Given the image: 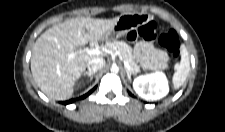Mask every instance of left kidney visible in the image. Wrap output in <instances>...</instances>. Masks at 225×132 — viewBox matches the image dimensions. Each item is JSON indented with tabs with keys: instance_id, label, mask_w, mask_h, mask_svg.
Here are the masks:
<instances>
[{
	"instance_id": "5707ae66",
	"label": "left kidney",
	"mask_w": 225,
	"mask_h": 132,
	"mask_svg": "<svg viewBox=\"0 0 225 132\" xmlns=\"http://www.w3.org/2000/svg\"><path fill=\"white\" fill-rule=\"evenodd\" d=\"M133 88L141 98L148 101L159 100L169 91L167 78L162 72L138 76L133 81Z\"/></svg>"
}]
</instances>
